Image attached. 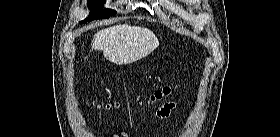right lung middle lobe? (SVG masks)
<instances>
[{"label": "right lung middle lobe", "instance_id": "dd1d6c3e", "mask_svg": "<svg viewBox=\"0 0 280 137\" xmlns=\"http://www.w3.org/2000/svg\"><path fill=\"white\" fill-rule=\"evenodd\" d=\"M105 0H88V7L91 10L90 16L82 22H86L87 20L91 21L99 18H109L114 15L116 12L111 9L99 10V8L103 7ZM81 22V23H82Z\"/></svg>", "mask_w": 280, "mask_h": 137}]
</instances>
